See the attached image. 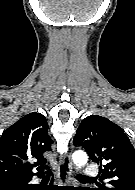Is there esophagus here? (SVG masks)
I'll return each mask as SVG.
<instances>
[{"mask_svg": "<svg viewBox=\"0 0 135 190\" xmlns=\"http://www.w3.org/2000/svg\"><path fill=\"white\" fill-rule=\"evenodd\" d=\"M58 178L60 183L65 186L72 182V161L68 154L59 158Z\"/></svg>", "mask_w": 135, "mask_h": 190, "instance_id": "esophagus-1", "label": "esophagus"}]
</instances>
